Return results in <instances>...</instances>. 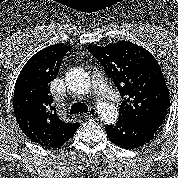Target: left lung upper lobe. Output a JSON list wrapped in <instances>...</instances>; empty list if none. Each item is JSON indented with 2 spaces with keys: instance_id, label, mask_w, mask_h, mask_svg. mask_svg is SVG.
<instances>
[{
  "instance_id": "obj_1",
  "label": "left lung upper lobe",
  "mask_w": 178,
  "mask_h": 178,
  "mask_svg": "<svg viewBox=\"0 0 178 178\" xmlns=\"http://www.w3.org/2000/svg\"><path fill=\"white\" fill-rule=\"evenodd\" d=\"M88 51L125 96L119 118L151 120L162 124L170 96L154 56L136 44L120 41L106 47L89 45Z\"/></svg>"
}]
</instances>
